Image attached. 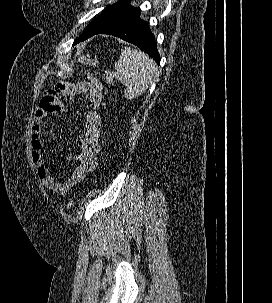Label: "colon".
I'll list each match as a JSON object with an SVG mask.
<instances>
[{
	"label": "colon",
	"mask_w": 272,
	"mask_h": 303,
	"mask_svg": "<svg viewBox=\"0 0 272 303\" xmlns=\"http://www.w3.org/2000/svg\"><path fill=\"white\" fill-rule=\"evenodd\" d=\"M80 62L92 66L96 64L97 60L95 56L83 55L80 57ZM104 78L106 82L111 85L113 83V72L111 70H107L104 74ZM66 206L68 209H72L74 206V201L72 199H68Z\"/></svg>",
	"instance_id": "obj_1"
}]
</instances>
